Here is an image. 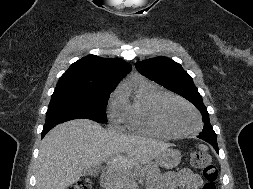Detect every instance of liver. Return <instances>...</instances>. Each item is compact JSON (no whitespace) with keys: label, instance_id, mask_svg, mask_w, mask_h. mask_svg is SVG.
I'll return each mask as SVG.
<instances>
[{"label":"liver","instance_id":"1","mask_svg":"<svg viewBox=\"0 0 253 189\" xmlns=\"http://www.w3.org/2000/svg\"><path fill=\"white\" fill-rule=\"evenodd\" d=\"M170 144L105 130L89 119H75L52 129L42 140L37 161L36 189H67L86 169L107 163L126 177L124 189ZM129 187V188H127Z\"/></svg>","mask_w":253,"mask_h":189}]
</instances>
